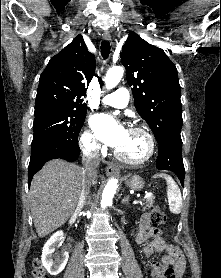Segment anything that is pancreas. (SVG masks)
<instances>
[{
    "mask_svg": "<svg viewBox=\"0 0 221 278\" xmlns=\"http://www.w3.org/2000/svg\"><path fill=\"white\" fill-rule=\"evenodd\" d=\"M154 206V198L153 197H149L146 200V204L143 206L142 210L145 211L147 209H150Z\"/></svg>",
    "mask_w": 221,
    "mask_h": 278,
    "instance_id": "1",
    "label": "pancreas"
}]
</instances>
